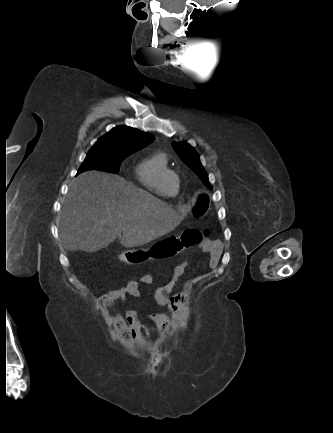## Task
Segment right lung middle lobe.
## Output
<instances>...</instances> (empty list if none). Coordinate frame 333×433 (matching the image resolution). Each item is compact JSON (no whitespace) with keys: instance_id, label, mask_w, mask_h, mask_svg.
Instances as JSON below:
<instances>
[{"instance_id":"right-lung-middle-lobe-1","label":"right lung middle lobe","mask_w":333,"mask_h":433,"mask_svg":"<svg viewBox=\"0 0 333 433\" xmlns=\"http://www.w3.org/2000/svg\"><path fill=\"white\" fill-rule=\"evenodd\" d=\"M130 154L109 150L103 147H92L80 166L78 173L90 169L118 173L122 161Z\"/></svg>"}]
</instances>
